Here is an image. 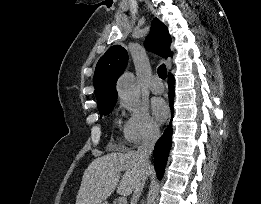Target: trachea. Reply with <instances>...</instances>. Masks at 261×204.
I'll return each instance as SVG.
<instances>
[{
	"mask_svg": "<svg viewBox=\"0 0 261 204\" xmlns=\"http://www.w3.org/2000/svg\"><path fill=\"white\" fill-rule=\"evenodd\" d=\"M158 75L161 79H166L167 76V69L166 66L164 64H162L161 66H159L158 68Z\"/></svg>",
	"mask_w": 261,
	"mask_h": 204,
	"instance_id": "3493384b",
	"label": "trachea"
}]
</instances>
